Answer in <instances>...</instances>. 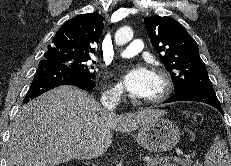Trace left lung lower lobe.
<instances>
[{
	"mask_svg": "<svg viewBox=\"0 0 231 166\" xmlns=\"http://www.w3.org/2000/svg\"><path fill=\"white\" fill-rule=\"evenodd\" d=\"M175 101H197L209 104L216 109H218L222 114V108L219 100L216 97L213 88L205 89V88H197L191 87L179 92H176L173 96L167 99L164 103H170Z\"/></svg>",
	"mask_w": 231,
	"mask_h": 166,
	"instance_id": "left-lung-lower-lobe-1",
	"label": "left lung lower lobe"
}]
</instances>
